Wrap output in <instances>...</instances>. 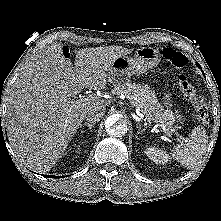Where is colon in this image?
<instances>
[{"mask_svg": "<svg viewBox=\"0 0 221 221\" xmlns=\"http://www.w3.org/2000/svg\"><path fill=\"white\" fill-rule=\"evenodd\" d=\"M164 59L179 70L178 84L180 90L188 101L194 106V112L197 119L205 127L209 125L208 107L203 98L198 95L194 86L190 82L189 75L185 70L187 58L182 53L172 49L165 48L163 50Z\"/></svg>", "mask_w": 221, "mask_h": 221, "instance_id": "obj_1", "label": "colon"}]
</instances>
